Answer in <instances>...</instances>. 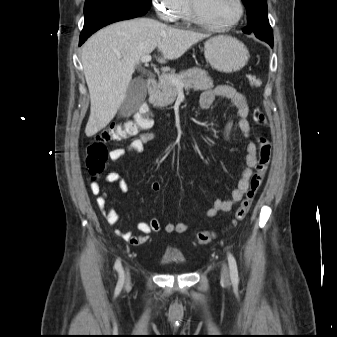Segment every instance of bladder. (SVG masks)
I'll return each instance as SVG.
<instances>
[{
    "mask_svg": "<svg viewBox=\"0 0 337 337\" xmlns=\"http://www.w3.org/2000/svg\"><path fill=\"white\" fill-rule=\"evenodd\" d=\"M182 258L180 256L174 255V254H166L163 259L162 263L163 264H172V263H182Z\"/></svg>",
    "mask_w": 337,
    "mask_h": 337,
    "instance_id": "bladder-1",
    "label": "bladder"
}]
</instances>
